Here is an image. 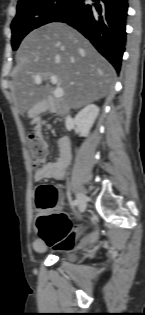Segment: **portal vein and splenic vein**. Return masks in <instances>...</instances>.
Wrapping results in <instances>:
<instances>
[{"label":"portal vein and splenic vein","mask_w":145,"mask_h":315,"mask_svg":"<svg viewBox=\"0 0 145 315\" xmlns=\"http://www.w3.org/2000/svg\"><path fill=\"white\" fill-rule=\"evenodd\" d=\"M50 80H51V82H52L53 84H57L58 79H57L56 76L51 75V76H50ZM34 81H35L36 83H41V81H42L41 76H39V75L35 76V77H34ZM53 94H54V97L60 98V97L63 96L64 91H63V89H62L61 87H57V88L55 89V91H54Z\"/></svg>","instance_id":"1"}]
</instances>
